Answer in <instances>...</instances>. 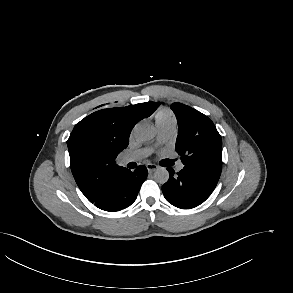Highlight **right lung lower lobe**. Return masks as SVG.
<instances>
[{
	"label": "right lung lower lobe",
	"mask_w": 293,
	"mask_h": 293,
	"mask_svg": "<svg viewBox=\"0 0 293 293\" xmlns=\"http://www.w3.org/2000/svg\"><path fill=\"white\" fill-rule=\"evenodd\" d=\"M147 175V168L143 165H140L134 172L127 170L119 174L111 181L106 193L93 204L99 209L110 212L130 206L136 200Z\"/></svg>",
	"instance_id": "right-lung-lower-lobe-1"
}]
</instances>
